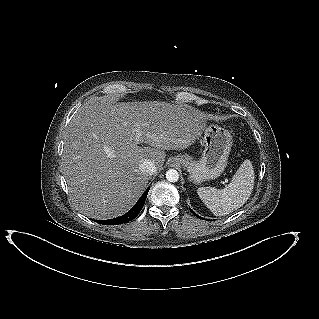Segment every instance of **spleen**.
Returning <instances> with one entry per match:
<instances>
[{"label": "spleen", "instance_id": "1", "mask_svg": "<svg viewBox=\"0 0 319 319\" xmlns=\"http://www.w3.org/2000/svg\"><path fill=\"white\" fill-rule=\"evenodd\" d=\"M254 178L252 163L247 159L224 189L200 187L197 194L214 215H227L247 202L254 188Z\"/></svg>", "mask_w": 319, "mask_h": 319}]
</instances>
